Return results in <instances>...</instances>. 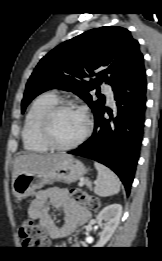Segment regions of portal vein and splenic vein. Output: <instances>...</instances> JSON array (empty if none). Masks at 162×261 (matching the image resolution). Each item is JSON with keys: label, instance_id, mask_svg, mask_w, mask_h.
Instances as JSON below:
<instances>
[{"label": "portal vein and splenic vein", "instance_id": "18ae733b", "mask_svg": "<svg viewBox=\"0 0 162 261\" xmlns=\"http://www.w3.org/2000/svg\"><path fill=\"white\" fill-rule=\"evenodd\" d=\"M84 184V181L81 180L80 183H79V186H82Z\"/></svg>", "mask_w": 162, "mask_h": 261}]
</instances>
